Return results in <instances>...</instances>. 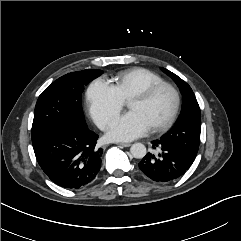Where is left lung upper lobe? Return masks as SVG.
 Masks as SVG:
<instances>
[{"label":"left lung upper lobe","mask_w":241,"mask_h":241,"mask_svg":"<svg viewBox=\"0 0 241 241\" xmlns=\"http://www.w3.org/2000/svg\"><path fill=\"white\" fill-rule=\"evenodd\" d=\"M179 86L183 95L182 115L176 125L161 137V140L173 143L190 157L195 159L201 131V113L196 97L190 86L176 74L164 69Z\"/></svg>","instance_id":"1"}]
</instances>
